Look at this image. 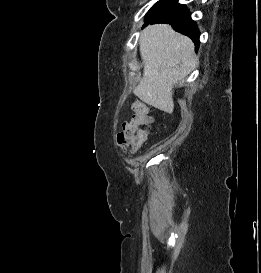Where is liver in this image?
Returning <instances> with one entry per match:
<instances>
[{
	"label": "liver",
	"mask_w": 261,
	"mask_h": 273,
	"mask_svg": "<svg viewBox=\"0 0 261 273\" xmlns=\"http://www.w3.org/2000/svg\"><path fill=\"white\" fill-rule=\"evenodd\" d=\"M139 45L144 70L134 94L146 104L171 114L174 86L198 65L194 43L170 25L156 24L142 31Z\"/></svg>",
	"instance_id": "6515ba94"
}]
</instances>
